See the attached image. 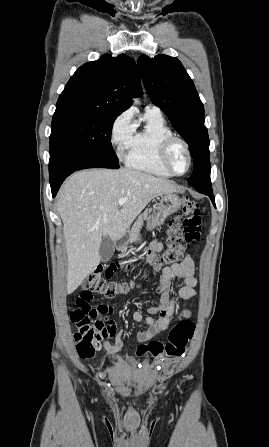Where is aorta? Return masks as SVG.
Here are the masks:
<instances>
[{"label": "aorta", "mask_w": 269, "mask_h": 447, "mask_svg": "<svg viewBox=\"0 0 269 447\" xmlns=\"http://www.w3.org/2000/svg\"><path fill=\"white\" fill-rule=\"evenodd\" d=\"M134 102H139V100H134Z\"/></svg>", "instance_id": "1"}]
</instances>
